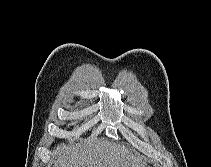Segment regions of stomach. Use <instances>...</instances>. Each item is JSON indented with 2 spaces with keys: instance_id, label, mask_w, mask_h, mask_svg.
I'll use <instances>...</instances> for the list:
<instances>
[{
  "instance_id": "1",
  "label": "stomach",
  "mask_w": 211,
  "mask_h": 167,
  "mask_svg": "<svg viewBox=\"0 0 211 167\" xmlns=\"http://www.w3.org/2000/svg\"><path fill=\"white\" fill-rule=\"evenodd\" d=\"M143 167H150V166H149V165H147V164H144V165H143Z\"/></svg>"
}]
</instances>
